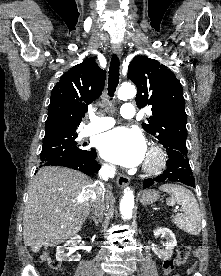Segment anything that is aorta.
Listing matches in <instances>:
<instances>
[{
  "mask_svg": "<svg viewBox=\"0 0 221 276\" xmlns=\"http://www.w3.org/2000/svg\"><path fill=\"white\" fill-rule=\"evenodd\" d=\"M136 89L135 86L131 84H123L117 93L120 100L131 99L135 96ZM134 208V194L133 191L128 188L124 190V195L120 202V213L124 220H128L132 217V212Z\"/></svg>",
  "mask_w": 221,
  "mask_h": 276,
  "instance_id": "obj_1",
  "label": "aorta"
}]
</instances>
